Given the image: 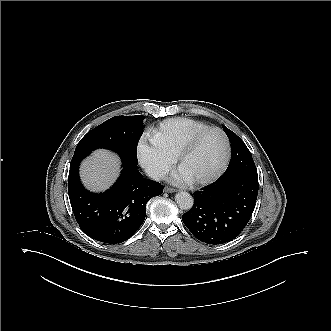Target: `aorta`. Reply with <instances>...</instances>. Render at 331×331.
I'll use <instances>...</instances> for the list:
<instances>
[{"label":"aorta","mask_w":331,"mask_h":331,"mask_svg":"<svg viewBox=\"0 0 331 331\" xmlns=\"http://www.w3.org/2000/svg\"><path fill=\"white\" fill-rule=\"evenodd\" d=\"M175 201L178 207L182 210H190L194 204L193 197L185 191L178 192L175 195Z\"/></svg>","instance_id":"1"}]
</instances>
